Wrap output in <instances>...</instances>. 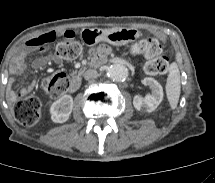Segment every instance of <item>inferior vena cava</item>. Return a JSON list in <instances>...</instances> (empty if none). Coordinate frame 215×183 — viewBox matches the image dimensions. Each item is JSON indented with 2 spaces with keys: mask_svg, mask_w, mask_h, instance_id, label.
<instances>
[{
  "mask_svg": "<svg viewBox=\"0 0 215 183\" xmlns=\"http://www.w3.org/2000/svg\"><path fill=\"white\" fill-rule=\"evenodd\" d=\"M83 76H84V79L86 80H92L98 77V73L94 69H89L83 74Z\"/></svg>",
  "mask_w": 215,
  "mask_h": 183,
  "instance_id": "obj_1",
  "label": "inferior vena cava"
}]
</instances>
